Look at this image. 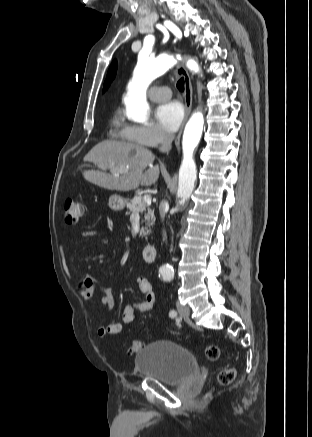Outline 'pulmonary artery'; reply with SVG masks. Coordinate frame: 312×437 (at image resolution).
Returning <instances> with one entry per match:
<instances>
[{
  "label": "pulmonary artery",
  "instance_id": "e3ab8cb5",
  "mask_svg": "<svg viewBox=\"0 0 312 437\" xmlns=\"http://www.w3.org/2000/svg\"><path fill=\"white\" fill-rule=\"evenodd\" d=\"M149 98L156 102L166 101L171 97V91L166 86H152L148 91Z\"/></svg>",
  "mask_w": 312,
  "mask_h": 437
}]
</instances>
